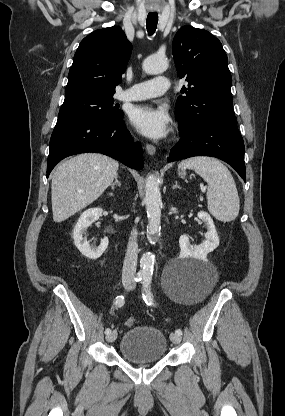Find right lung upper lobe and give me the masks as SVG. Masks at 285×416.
Here are the masks:
<instances>
[{
    "mask_svg": "<svg viewBox=\"0 0 285 416\" xmlns=\"http://www.w3.org/2000/svg\"><path fill=\"white\" fill-rule=\"evenodd\" d=\"M132 51L120 27L99 29L85 37L68 74L65 98L113 97Z\"/></svg>",
    "mask_w": 285,
    "mask_h": 416,
    "instance_id": "1",
    "label": "right lung upper lobe"
}]
</instances>
